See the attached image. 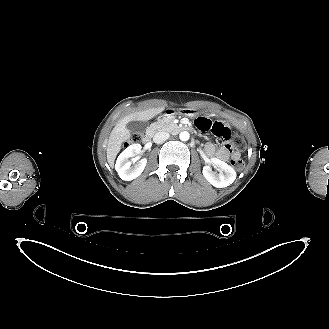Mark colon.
Masks as SVG:
<instances>
[{
	"instance_id": "5ec220e1",
	"label": "colon",
	"mask_w": 329,
	"mask_h": 329,
	"mask_svg": "<svg viewBox=\"0 0 329 329\" xmlns=\"http://www.w3.org/2000/svg\"><path fill=\"white\" fill-rule=\"evenodd\" d=\"M139 140H140V135L139 134H133L131 139H130L131 142H138ZM231 144L235 148H238V149H243L246 145L244 138L242 136H239V135L232 138L231 142L228 145L230 146ZM231 165L236 170H242L243 167H244V162L239 158L238 159H232L231 160Z\"/></svg>"
}]
</instances>
